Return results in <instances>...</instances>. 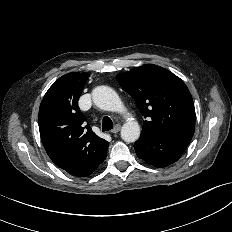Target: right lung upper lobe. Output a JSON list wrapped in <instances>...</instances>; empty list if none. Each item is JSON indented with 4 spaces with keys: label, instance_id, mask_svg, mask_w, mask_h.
Instances as JSON below:
<instances>
[{
    "label": "right lung upper lobe",
    "instance_id": "cb5924a9",
    "mask_svg": "<svg viewBox=\"0 0 232 232\" xmlns=\"http://www.w3.org/2000/svg\"><path fill=\"white\" fill-rule=\"evenodd\" d=\"M88 76L72 72L60 77L46 92L38 115L47 154L58 167L79 177L97 169L109 146L92 131L78 106Z\"/></svg>",
    "mask_w": 232,
    "mask_h": 232
}]
</instances>
